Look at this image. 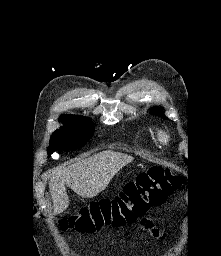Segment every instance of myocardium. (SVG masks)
<instances>
[{"label":"myocardium","mask_w":221,"mask_h":256,"mask_svg":"<svg viewBox=\"0 0 221 256\" xmlns=\"http://www.w3.org/2000/svg\"><path fill=\"white\" fill-rule=\"evenodd\" d=\"M158 138L161 142H166L168 140V135L165 132L160 131L158 133Z\"/></svg>","instance_id":"f54148a6"}]
</instances>
